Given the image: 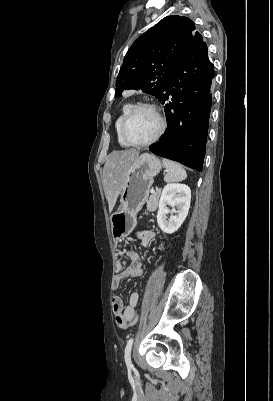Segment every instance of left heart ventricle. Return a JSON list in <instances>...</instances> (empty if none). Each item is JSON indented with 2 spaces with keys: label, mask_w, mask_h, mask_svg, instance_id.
<instances>
[{
  "label": "left heart ventricle",
  "mask_w": 273,
  "mask_h": 401,
  "mask_svg": "<svg viewBox=\"0 0 273 401\" xmlns=\"http://www.w3.org/2000/svg\"><path fill=\"white\" fill-rule=\"evenodd\" d=\"M159 127L158 117L151 111L142 109L130 118L125 128V135L129 140L142 142L154 137Z\"/></svg>",
  "instance_id": "obj_1"
}]
</instances>
